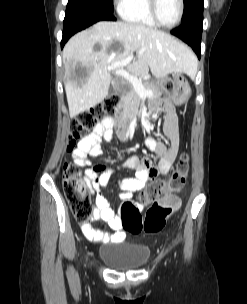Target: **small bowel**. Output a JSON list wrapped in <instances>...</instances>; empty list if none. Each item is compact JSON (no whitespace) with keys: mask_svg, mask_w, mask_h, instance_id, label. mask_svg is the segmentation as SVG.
<instances>
[{"mask_svg":"<svg viewBox=\"0 0 247 304\" xmlns=\"http://www.w3.org/2000/svg\"><path fill=\"white\" fill-rule=\"evenodd\" d=\"M161 106L164 112L163 132L169 144L166 145L153 137L146 139L147 147L159 157L156 167L152 166L148 158H140L138 156H130L122 162L124 168L135 171L134 177L124 179L119 184L121 190L119 199L122 201L130 200L133 193L144 189L149 180L158 175H166L176 159L180 146L178 117L174 107L168 102L162 105L161 102L154 101L151 104V110H156ZM114 124V118L108 117L104 119L95 127L91 135L79 142L77 148L71 154L74 163L85 169L86 181L95 195V208L91 219L88 223L81 224L84 236L91 242H120L124 238L121 215L114 211L102 192V188L109 183L113 168L106 165H93L88 159L89 155L100 156L102 154L101 143L103 141L110 142L113 139ZM138 207L140 210L144 209L143 204H139ZM100 219L105 221L116 232L108 234L104 228H92L90 222Z\"/></svg>","mask_w":247,"mask_h":304,"instance_id":"small-bowel-1","label":"small bowel"}]
</instances>
